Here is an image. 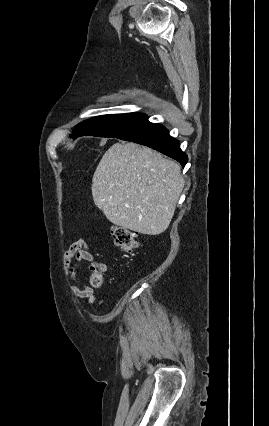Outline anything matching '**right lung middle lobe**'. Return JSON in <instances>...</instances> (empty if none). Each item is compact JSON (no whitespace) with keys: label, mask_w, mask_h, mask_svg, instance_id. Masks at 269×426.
<instances>
[{"label":"right lung middle lobe","mask_w":269,"mask_h":426,"mask_svg":"<svg viewBox=\"0 0 269 426\" xmlns=\"http://www.w3.org/2000/svg\"><path fill=\"white\" fill-rule=\"evenodd\" d=\"M146 119L145 114L139 113L97 116L76 126L73 138L86 135L119 138L133 131Z\"/></svg>","instance_id":"dd1d6c3e"}]
</instances>
